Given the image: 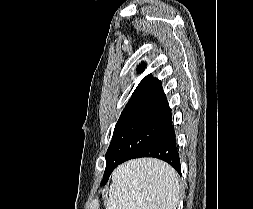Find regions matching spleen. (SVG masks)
<instances>
[{
    "instance_id": "1",
    "label": "spleen",
    "mask_w": 253,
    "mask_h": 209,
    "mask_svg": "<svg viewBox=\"0 0 253 209\" xmlns=\"http://www.w3.org/2000/svg\"><path fill=\"white\" fill-rule=\"evenodd\" d=\"M106 209H176V171L152 158L131 160L113 173Z\"/></svg>"
}]
</instances>
